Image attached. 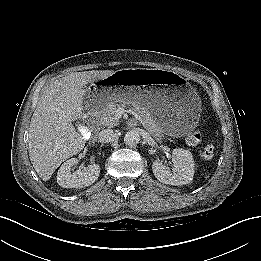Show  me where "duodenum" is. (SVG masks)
<instances>
[{
  "mask_svg": "<svg viewBox=\"0 0 261 261\" xmlns=\"http://www.w3.org/2000/svg\"><path fill=\"white\" fill-rule=\"evenodd\" d=\"M101 118L98 114H90L87 119V124L90 128L98 130L100 127Z\"/></svg>",
  "mask_w": 261,
  "mask_h": 261,
  "instance_id": "410a0bca",
  "label": "duodenum"
}]
</instances>
